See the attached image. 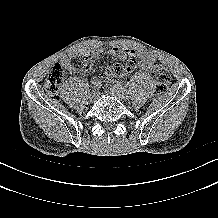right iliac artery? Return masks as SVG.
Here are the masks:
<instances>
[{"instance_id": "obj_1", "label": "right iliac artery", "mask_w": 218, "mask_h": 218, "mask_svg": "<svg viewBox=\"0 0 218 218\" xmlns=\"http://www.w3.org/2000/svg\"><path fill=\"white\" fill-rule=\"evenodd\" d=\"M92 84H93L92 91L97 92L99 90L100 86H101V83L94 81Z\"/></svg>"}]
</instances>
